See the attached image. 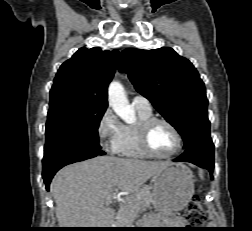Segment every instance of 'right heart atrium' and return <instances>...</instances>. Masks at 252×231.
<instances>
[{
    "instance_id": "right-heart-atrium-1",
    "label": "right heart atrium",
    "mask_w": 252,
    "mask_h": 231,
    "mask_svg": "<svg viewBox=\"0 0 252 231\" xmlns=\"http://www.w3.org/2000/svg\"><path fill=\"white\" fill-rule=\"evenodd\" d=\"M122 127L123 124L111 109L104 110L98 121L97 135L101 144L111 152H117Z\"/></svg>"
}]
</instances>
